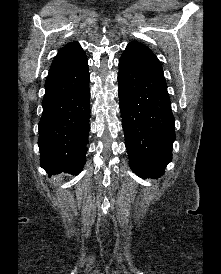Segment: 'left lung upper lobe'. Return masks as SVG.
<instances>
[{"label":"left lung upper lobe","mask_w":221,"mask_h":274,"mask_svg":"<svg viewBox=\"0 0 221 274\" xmlns=\"http://www.w3.org/2000/svg\"><path fill=\"white\" fill-rule=\"evenodd\" d=\"M133 43H136V44H138V45H140V46H142V47H144V48H146V49H148V50H150L147 46H145V45H143V44H140V43H138V42H133ZM151 51V50H150Z\"/></svg>","instance_id":"1"}]
</instances>
